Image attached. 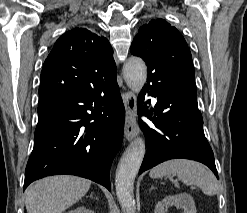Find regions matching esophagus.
<instances>
[{"mask_svg": "<svg viewBox=\"0 0 247 213\" xmlns=\"http://www.w3.org/2000/svg\"><path fill=\"white\" fill-rule=\"evenodd\" d=\"M122 99L126 110L124 136L130 141L138 134L136 97L132 92H125L122 93Z\"/></svg>", "mask_w": 247, "mask_h": 213, "instance_id": "1", "label": "esophagus"}]
</instances>
